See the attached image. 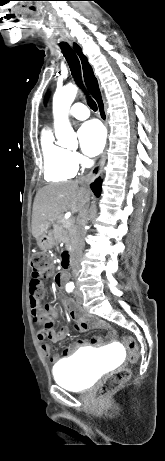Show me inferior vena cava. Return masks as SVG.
Here are the masks:
<instances>
[{
	"label": "inferior vena cava",
	"instance_id": "1",
	"mask_svg": "<svg viewBox=\"0 0 165 461\" xmlns=\"http://www.w3.org/2000/svg\"><path fill=\"white\" fill-rule=\"evenodd\" d=\"M88 215V208L85 206L79 214V220L75 234L74 249L72 253V273L75 278L78 276L80 271V258L84 247V237L86 234L85 226L87 224Z\"/></svg>",
	"mask_w": 165,
	"mask_h": 461
}]
</instances>
